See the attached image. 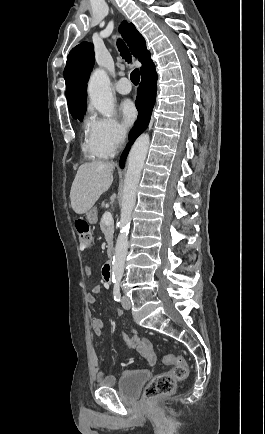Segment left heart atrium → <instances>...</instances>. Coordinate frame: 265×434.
<instances>
[{"instance_id":"left-heart-atrium-1","label":"left heart atrium","mask_w":265,"mask_h":434,"mask_svg":"<svg viewBox=\"0 0 265 434\" xmlns=\"http://www.w3.org/2000/svg\"><path fill=\"white\" fill-rule=\"evenodd\" d=\"M122 117L125 125H131L137 118V110L131 102H125L121 106Z\"/></svg>"}]
</instances>
